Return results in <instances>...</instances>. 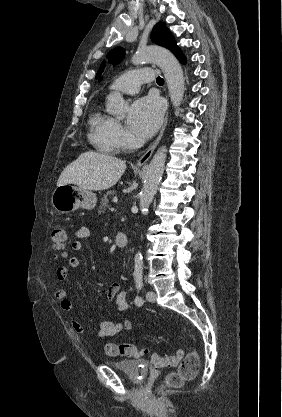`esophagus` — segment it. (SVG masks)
<instances>
[{
  "mask_svg": "<svg viewBox=\"0 0 282 417\" xmlns=\"http://www.w3.org/2000/svg\"><path fill=\"white\" fill-rule=\"evenodd\" d=\"M168 105V103H167ZM167 121H168V112H166L164 121H163V125L162 128L160 130V133L157 137V139L155 140V142L149 147V149L147 150V152L144 153V155H142V157H140V159L137 161V165L139 167L144 166L147 162V160H149V158L151 157L152 153L154 152L155 148L157 147L159 141L162 138V135L164 133L165 127L167 125Z\"/></svg>",
  "mask_w": 282,
  "mask_h": 417,
  "instance_id": "obj_1",
  "label": "esophagus"
}]
</instances>
